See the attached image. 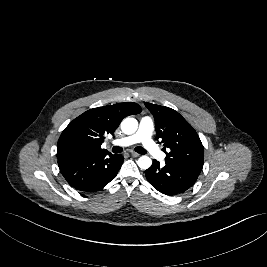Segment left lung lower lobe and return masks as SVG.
Here are the masks:
<instances>
[{"mask_svg": "<svg viewBox=\"0 0 267 267\" xmlns=\"http://www.w3.org/2000/svg\"><path fill=\"white\" fill-rule=\"evenodd\" d=\"M148 182L165 195L185 192L194 185L198 174L169 165H160L157 160L145 171Z\"/></svg>", "mask_w": 267, "mask_h": 267, "instance_id": "1", "label": "left lung lower lobe"}]
</instances>
